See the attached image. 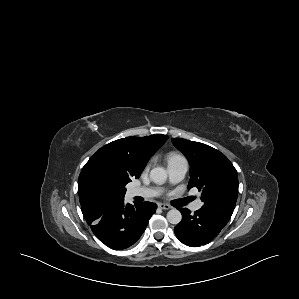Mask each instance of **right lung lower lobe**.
<instances>
[{
    "mask_svg": "<svg viewBox=\"0 0 299 299\" xmlns=\"http://www.w3.org/2000/svg\"><path fill=\"white\" fill-rule=\"evenodd\" d=\"M81 206L83 216L95 236L114 250L133 245L156 210L154 203L131 205L125 204L124 199L114 203L87 202Z\"/></svg>",
    "mask_w": 299,
    "mask_h": 299,
    "instance_id": "98d812e1",
    "label": "right lung lower lobe"
}]
</instances>
